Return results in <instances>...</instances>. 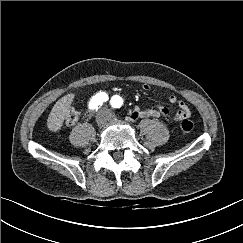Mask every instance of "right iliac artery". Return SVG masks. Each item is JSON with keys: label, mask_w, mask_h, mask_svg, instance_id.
Wrapping results in <instances>:
<instances>
[{"label": "right iliac artery", "mask_w": 243, "mask_h": 243, "mask_svg": "<svg viewBox=\"0 0 243 243\" xmlns=\"http://www.w3.org/2000/svg\"><path fill=\"white\" fill-rule=\"evenodd\" d=\"M108 100V95L105 92H99L92 97L89 102V109L96 110L98 109L99 105H102L103 102Z\"/></svg>", "instance_id": "82829eb1"}]
</instances>
